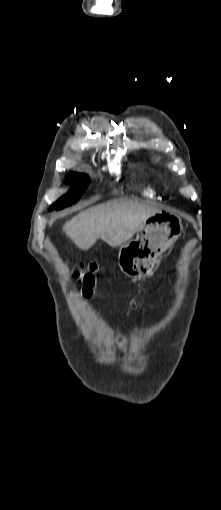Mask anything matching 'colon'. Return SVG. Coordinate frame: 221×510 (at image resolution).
<instances>
[{
  "label": "colon",
  "instance_id": "1",
  "mask_svg": "<svg viewBox=\"0 0 221 510\" xmlns=\"http://www.w3.org/2000/svg\"><path fill=\"white\" fill-rule=\"evenodd\" d=\"M97 271L96 263L89 262L82 264L80 269L76 273V277L80 283V290L85 299H89L93 293V287L95 284L94 274ZM133 307H137V301L133 302Z\"/></svg>",
  "mask_w": 221,
  "mask_h": 510
}]
</instances>
